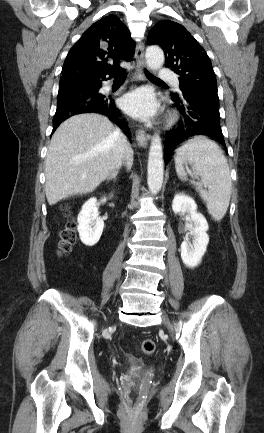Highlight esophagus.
I'll return each instance as SVG.
<instances>
[{
    "mask_svg": "<svg viewBox=\"0 0 264 433\" xmlns=\"http://www.w3.org/2000/svg\"><path fill=\"white\" fill-rule=\"evenodd\" d=\"M136 69L135 79L139 80L144 76L146 63L144 58V45L142 42H138L135 49ZM136 142L139 146L146 147L150 140V135L147 134L143 129H137L135 133Z\"/></svg>",
    "mask_w": 264,
    "mask_h": 433,
    "instance_id": "34e87169",
    "label": "esophagus"
}]
</instances>
